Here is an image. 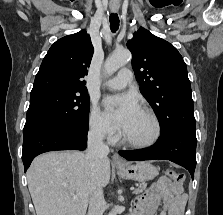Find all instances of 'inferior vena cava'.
Instances as JSON below:
<instances>
[{"label":"inferior vena cava","mask_w":223,"mask_h":215,"mask_svg":"<svg viewBox=\"0 0 223 215\" xmlns=\"http://www.w3.org/2000/svg\"><path fill=\"white\" fill-rule=\"evenodd\" d=\"M104 133L101 129H90L88 133L87 157L90 159L93 175H98L104 157L109 153L108 145H105ZM105 199L100 181H94L90 193L88 215H103Z\"/></svg>","instance_id":"602c4592"}]
</instances>
